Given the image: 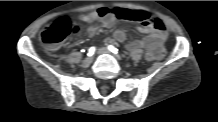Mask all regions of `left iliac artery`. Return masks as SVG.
Instances as JSON below:
<instances>
[{"mask_svg":"<svg viewBox=\"0 0 218 122\" xmlns=\"http://www.w3.org/2000/svg\"><path fill=\"white\" fill-rule=\"evenodd\" d=\"M109 51H111L112 53L117 54L118 53V49L116 47H114L113 45H109L108 46Z\"/></svg>","mask_w":218,"mask_h":122,"instance_id":"obj_1","label":"left iliac artery"}]
</instances>
